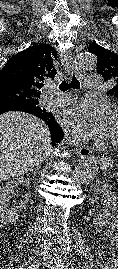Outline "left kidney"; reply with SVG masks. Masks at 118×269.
<instances>
[{"label": "left kidney", "mask_w": 118, "mask_h": 269, "mask_svg": "<svg viewBox=\"0 0 118 269\" xmlns=\"http://www.w3.org/2000/svg\"><path fill=\"white\" fill-rule=\"evenodd\" d=\"M93 192H100L103 195L102 212L97 217L93 218V224L95 226L104 227L114 218L118 198L111 185L99 180L93 185Z\"/></svg>", "instance_id": "5707ae66"}]
</instances>
